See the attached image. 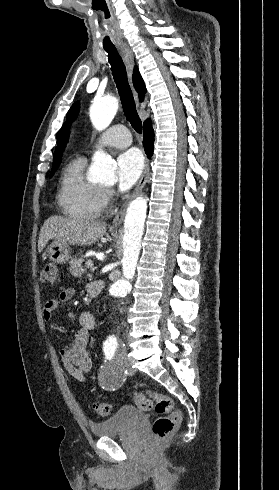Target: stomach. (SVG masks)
<instances>
[{"mask_svg": "<svg viewBox=\"0 0 279 490\" xmlns=\"http://www.w3.org/2000/svg\"><path fill=\"white\" fill-rule=\"evenodd\" d=\"M47 256L52 264H66L71 258V248L69 244H60V242H52L48 246Z\"/></svg>", "mask_w": 279, "mask_h": 490, "instance_id": "1", "label": "stomach"}]
</instances>
